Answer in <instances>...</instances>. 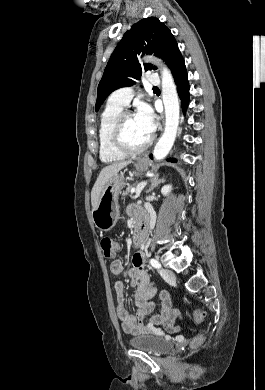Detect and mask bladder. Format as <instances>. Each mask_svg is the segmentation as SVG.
<instances>
[{
	"label": "bladder",
	"instance_id": "bladder-1",
	"mask_svg": "<svg viewBox=\"0 0 265 390\" xmlns=\"http://www.w3.org/2000/svg\"><path fill=\"white\" fill-rule=\"evenodd\" d=\"M129 343L133 348L153 355H161L172 348V344L165 338L149 334L133 337Z\"/></svg>",
	"mask_w": 265,
	"mask_h": 390
}]
</instances>
